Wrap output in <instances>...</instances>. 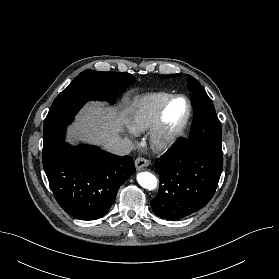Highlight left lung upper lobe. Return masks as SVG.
<instances>
[{
    "label": "left lung upper lobe",
    "mask_w": 279,
    "mask_h": 279,
    "mask_svg": "<svg viewBox=\"0 0 279 279\" xmlns=\"http://www.w3.org/2000/svg\"><path fill=\"white\" fill-rule=\"evenodd\" d=\"M176 76L178 75H163L166 78ZM188 83L193 93L194 120L187 141L203 145L217 153L223 154L221 125L218 121L212 100L194 77L189 75Z\"/></svg>",
    "instance_id": "left-lung-upper-lobe-1"
}]
</instances>
